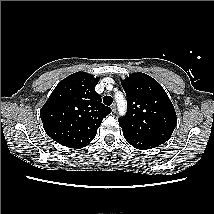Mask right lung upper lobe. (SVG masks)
<instances>
[{"label": "right lung upper lobe", "instance_id": "cb5924a9", "mask_svg": "<svg viewBox=\"0 0 214 214\" xmlns=\"http://www.w3.org/2000/svg\"><path fill=\"white\" fill-rule=\"evenodd\" d=\"M98 77L76 72L60 81L42 107L45 132L70 148H83L96 136L102 119L111 113L95 92Z\"/></svg>", "mask_w": 214, "mask_h": 214}]
</instances>
